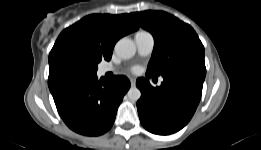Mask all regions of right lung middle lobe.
Segmentation results:
<instances>
[{"label":"right lung middle lobe","mask_w":261,"mask_h":150,"mask_svg":"<svg viewBox=\"0 0 261 150\" xmlns=\"http://www.w3.org/2000/svg\"><path fill=\"white\" fill-rule=\"evenodd\" d=\"M86 64V60L79 53H73L67 57V65L73 70H78L84 67ZM95 68L97 69V63H95Z\"/></svg>","instance_id":"1"}]
</instances>
